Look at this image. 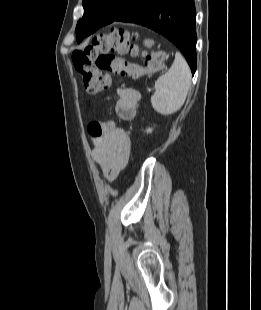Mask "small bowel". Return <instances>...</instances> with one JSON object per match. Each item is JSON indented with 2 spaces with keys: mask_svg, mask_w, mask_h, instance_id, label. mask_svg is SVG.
Instances as JSON below:
<instances>
[{
  "mask_svg": "<svg viewBox=\"0 0 261 310\" xmlns=\"http://www.w3.org/2000/svg\"><path fill=\"white\" fill-rule=\"evenodd\" d=\"M117 94L119 97L115 104L117 115L123 120H132L139 108L140 93L133 88L124 87L119 88ZM106 124L109 127L103 135L98 137L89 135L93 144L94 160L107 179L113 180L128 163L131 140L129 135L122 128L116 127L113 122Z\"/></svg>",
  "mask_w": 261,
  "mask_h": 310,
  "instance_id": "obj_1",
  "label": "small bowel"
}]
</instances>
